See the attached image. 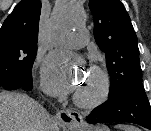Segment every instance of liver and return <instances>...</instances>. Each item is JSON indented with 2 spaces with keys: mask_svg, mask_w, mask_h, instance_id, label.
Segmentation results:
<instances>
[{
  "mask_svg": "<svg viewBox=\"0 0 151 131\" xmlns=\"http://www.w3.org/2000/svg\"><path fill=\"white\" fill-rule=\"evenodd\" d=\"M0 131H57L43 106L26 94L0 92Z\"/></svg>",
  "mask_w": 151,
  "mask_h": 131,
  "instance_id": "liver-1",
  "label": "liver"
}]
</instances>
